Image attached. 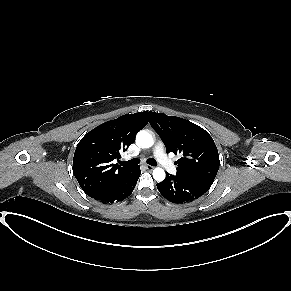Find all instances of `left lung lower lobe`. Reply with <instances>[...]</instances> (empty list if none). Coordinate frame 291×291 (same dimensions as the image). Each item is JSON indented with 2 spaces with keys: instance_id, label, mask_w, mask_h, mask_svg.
Returning <instances> with one entry per match:
<instances>
[{
  "instance_id": "1",
  "label": "left lung lower lobe",
  "mask_w": 291,
  "mask_h": 291,
  "mask_svg": "<svg viewBox=\"0 0 291 291\" xmlns=\"http://www.w3.org/2000/svg\"><path fill=\"white\" fill-rule=\"evenodd\" d=\"M212 183L174 176L167 173L164 181L157 183L159 192L172 203H185L198 199L206 193Z\"/></svg>"
}]
</instances>
